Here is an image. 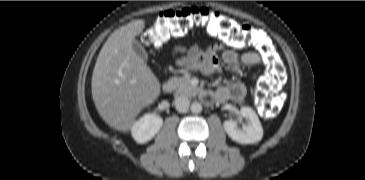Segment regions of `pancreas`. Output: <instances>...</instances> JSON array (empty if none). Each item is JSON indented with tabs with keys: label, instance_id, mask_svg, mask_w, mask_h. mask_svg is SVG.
Segmentation results:
<instances>
[{
	"label": "pancreas",
	"instance_id": "obj_1",
	"mask_svg": "<svg viewBox=\"0 0 365 180\" xmlns=\"http://www.w3.org/2000/svg\"><path fill=\"white\" fill-rule=\"evenodd\" d=\"M170 81L174 84L175 90L179 94L194 97L200 91L199 88L191 85L189 76L173 77Z\"/></svg>",
	"mask_w": 365,
	"mask_h": 180
}]
</instances>
